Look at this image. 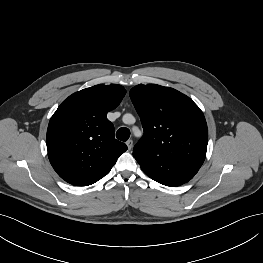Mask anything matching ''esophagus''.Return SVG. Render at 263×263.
Returning a JSON list of instances; mask_svg holds the SVG:
<instances>
[{"instance_id":"34e87169","label":"esophagus","mask_w":263,"mask_h":263,"mask_svg":"<svg viewBox=\"0 0 263 263\" xmlns=\"http://www.w3.org/2000/svg\"><path fill=\"white\" fill-rule=\"evenodd\" d=\"M126 145L128 147V150H131L132 147H133V140L129 139L127 142H126Z\"/></svg>"}]
</instances>
